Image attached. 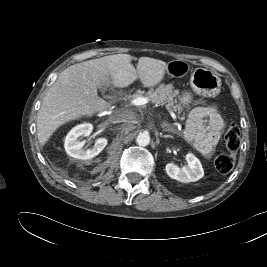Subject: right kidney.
I'll use <instances>...</instances> for the list:
<instances>
[{"mask_svg": "<svg viewBox=\"0 0 267 267\" xmlns=\"http://www.w3.org/2000/svg\"><path fill=\"white\" fill-rule=\"evenodd\" d=\"M93 126L90 123H84L75 126L70 130L65 138L64 148L68 155L77 159H91L97 156L107 145L108 140L106 138H98L95 141L92 149H84V141H81L82 137H87L91 134Z\"/></svg>", "mask_w": 267, "mask_h": 267, "instance_id": "ca27d5eb", "label": "right kidney"}]
</instances>
